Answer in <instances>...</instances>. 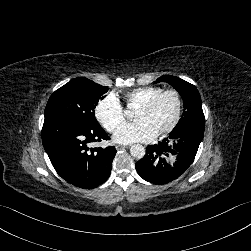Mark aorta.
Listing matches in <instances>:
<instances>
[{"instance_id": "obj_1", "label": "aorta", "mask_w": 251, "mask_h": 251, "mask_svg": "<svg viewBox=\"0 0 251 251\" xmlns=\"http://www.w3.org/2000/svg\"><path fill=\"white\" fill-rule=\"evenodd\" d=\"M130 154L137 159H141L145 156V148L140 144H134L130 148Z\"/></svg>"}]
</instances>
